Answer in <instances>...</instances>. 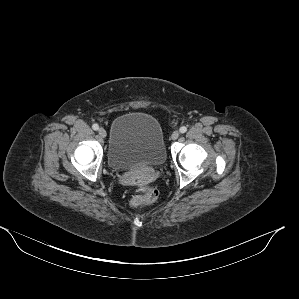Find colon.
Returning a JSON list of instances; mask_svg holds the SVG:
<instances>
[{"instance_id": "1", "label": "colon", "mask_w": 299, "mask_h": 299, "mask_svg": "<svg viewBox=\"0 0 299 299\" xmlns=\"http://www.w3.org/2000/svg\"><path fill=\"white\" fill-rule=\"evenodd\" d=\"M158 190L152 186L142 185L140 187V194L134 196L130 205L134 208L150 204L158 198Z\"/></svg>"}]
</instances>
